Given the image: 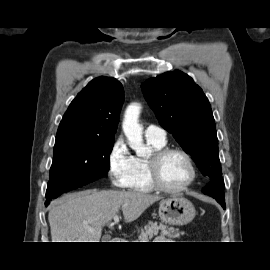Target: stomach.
<instances>
[{
    "label": "stomach",
    "mask_w": 270,
    "mask_h": 270,
    "mask_svg": "<svg viewBox=\"0 0 270 270\" xmlns=\"http://www.w3.org/2000/svg\"><path fill=\"white\" fill-rule=\"evenodd\" d=\"M195 214L193 204L184 197L171 196L162 200L159 205L161 220L171 225H186L194 219Z\"/></svg>",
    "instance_id": "0dacf381"
}]
</instances>
